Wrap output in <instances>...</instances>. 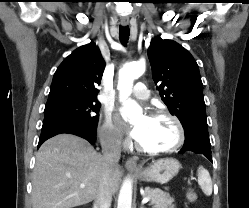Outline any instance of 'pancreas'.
<instances>
[{"mask_svg": "<svg viewBox=\"0 0 249 208\" xmlns=\"http://www.w3.org/2000/svg\"><path fill=\"white\" fill-rule=\"evenodd\" d=\"M144 194L150 198L153 208H174V199L161 189L146 187Z\"/></svg>", "mask_w": 249, "mask_h": 208, "instance_id": "1", "label": "pancreas"}]
</instances>
